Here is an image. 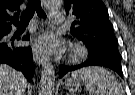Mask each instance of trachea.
<instances>
[{"mask_svg": "<svg viewBox=\"0 0 135 95\" xmlns=\"http://www.w3.org/2000/svg\"><path fill=\"white\" fill-rule=\"evenodd\" d=\"M35 12L40 18L46 19V14L41 7V1L29 0L26 10L20 16V26H27Z\"/></svg>", "mask_w": 135, "mask_h": 95, "instance_id": "obj_1", "label": "trachea"}]
</instances>
